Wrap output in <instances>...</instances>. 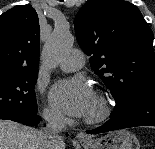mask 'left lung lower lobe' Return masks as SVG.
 I'll use <instances>...</instances> for the list:
<instances>
[{"mask_svg":"<svg viewBox=\"0 0 155 149\" xmlns=\"http://www.w3.org/2000/svg\"><path fill=\"white\" fill-rule=\"evenodd\" d=\"M140 125L155 126V86L139 87L126 95L122 102L116 101L110 120L87 133H104Z\"/></svg>","mask_w":155,"mask_h":149,"instance_id":"obj_1","label":"left lung lower lobe"}]
</instances>
